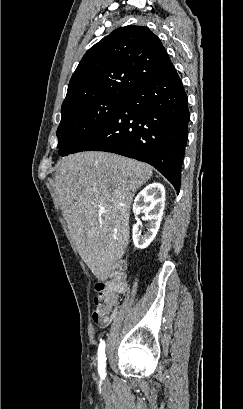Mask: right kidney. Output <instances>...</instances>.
Segmentation results:
<instances>
[{
  "label": "right kidney",
  "mask_w": 243,
  "mask_h": 409,
  "mask_svg": "<svg viewBox=\"0 0 243 409\" xmlns=\"http://www.w3.org/2000/svg\"><path fill=\"white\" fill-rule=\"evenodd\" d=\"M165 189L160 183H152L146 186L135 198L133 212L137 217L141 210L144 211V220L148 222L147 232L142 234L139 224H134L132 238L134 245L139 249H145L156 237L164 210Z\"/></svg>",
  "instance_id": "obj_1"
}]
</instances>
